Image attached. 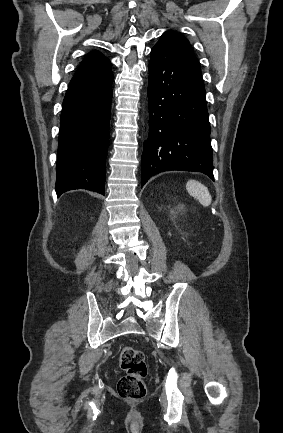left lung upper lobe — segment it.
<instances>
[{
    "instance_id": "obj_1",
    "label": "left lung upper lobe",
    "mask_w": 283,
    "mask_h": 433,
    "mask_svg": "<svg viewBox=\"0 0 283 433\" xmlns=\"http://www.w3.org/2000/svg\"><path fill=\"white\" fill-rule=\"evenodd\" d=\"M154 47H167L188 53L196 57L192 51L189 41L175 32H165Z\"/></svg>"
}]
</instances>
